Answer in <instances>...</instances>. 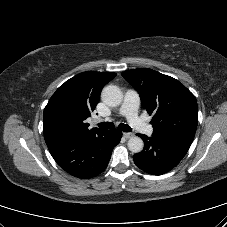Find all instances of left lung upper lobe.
Masks as SVG:
<instances>
[{
    "label": "left lung upper lobe",
    "mask_w": 227,
    "mask_h": 227,
    "mask_svg": "<svg viewBox=\"0 0 227 227\" xmlns=\"http://www.w3.org/2000/svg\"><path fill=\"white\" fill-rule=\"evenodd\" d=\"M122 76L138 91L143 109L153 115L154 134L191 142L198 124L194 95L178 80L152 69H132Z\"/></svg>",
    "instance_id": "1"
}]
</instances>
